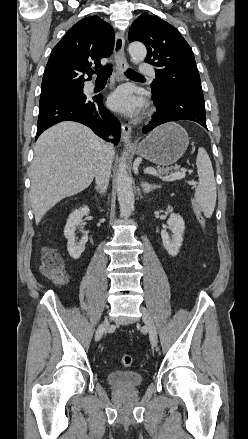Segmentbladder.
Segmentation results:
<instances>
[{
    "label": "bladder",
    "mask_w": 248,
    "mask_h": 439,
    "mask_svg": "<svg viewBox=\"0 0 248 439\" xmlns=\"http://www.w3.org/2000/svg\"><path fill=\"white\" fill-rule=\"evenodd\" d=\"M106 379L109 385L122 389L137 388L143 382L142 374L133 371L110 372L106 375Z\"/></svg>",
    "instance_id": "obj_1"
}]
</instances>
